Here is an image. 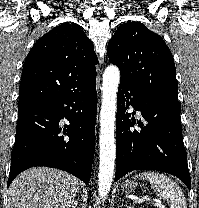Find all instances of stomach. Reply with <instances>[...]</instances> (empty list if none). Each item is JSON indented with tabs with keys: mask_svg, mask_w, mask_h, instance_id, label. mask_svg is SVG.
<instances>
[{
	"mask_svg": "<svg viewBox=\"0 0 199 208\" xmlns=\"http://www.w3.org/2000/svg\"><path fill=\"white\" fill-rule=\"evenodd\" d=\"M121 187L124 192L132 193L136 189L137 183L131 180H126L122 183Z\"/></svg>",
	"mask_w": 199,
	"mask_h": 208,
	"instance_id": "stomach-1",
	"label": "stomach"
}]
</instances>
